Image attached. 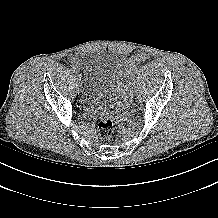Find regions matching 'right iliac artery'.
<instances>
[{"label": "right iliac artery", "instance_id": "obj_1", "mask_svg": "<svg viewBox=\"0 0 218 218\" xmlns=\"http://www.w3.org/2000/svg\"><path fill=\"white\" fill-rule=\"evenodd\" d=\"M71 71L75 72L76 71V68L71 66ZM77 73V72H76Z\"/></svg>", "mask_w": 218, "mask_h": 218}]
</instances>
